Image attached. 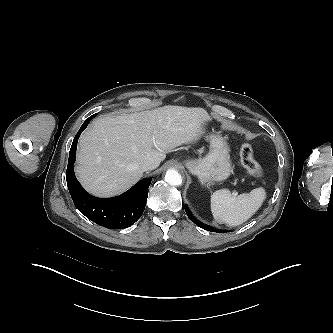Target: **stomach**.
<instances>
[{"mask_svg":"<svg viewBox=\"0 0 333 333\" xmlns=\"http://www.w3.org/2000/svg\"><path fill=\"white\" fill-rule=\"evenodd\" d=\"M209 141L210 150L205 157L184 161L187 169L197 176L202 184L223 181L232 171L230 149L226 139L221 135H210Z\"/></svg>","mask_w":333,"mask_h":333,"instance_id":"obj_1","label":"stomach"}]
</instances>
